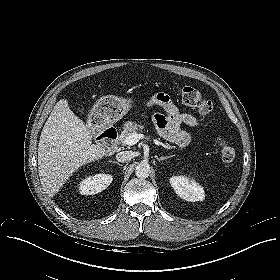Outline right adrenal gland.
Segmentation results:
<instances>
[{"label":"right adrenal gland","mask_w":280,"mask_h":280,"mask_svg":"<svg viewBox=\"0 0 280 280\" xmlns=\"http://www.w3.org/2000/svg\"><path fill=\"white\" fill-rule=\"evenodd\" d=\"M111 162H112V161H111ZM113 163H115V164L121 166V164H120L119 162H117V161H113Z\"/></svg>","instance_id":"obj_1"}]
</instances>
